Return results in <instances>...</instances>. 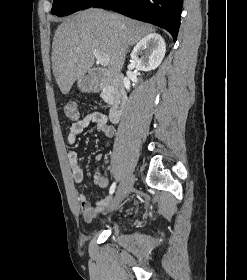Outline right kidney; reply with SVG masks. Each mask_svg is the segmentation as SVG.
Here are the masks:
<instances>
[{
  "mask_svg": "<svg viewBox=\"0 0 247 280\" xmlns=\"http://www.w3.org/2000/svg\"><path fill=\"white\" fill-rule=\"evenodd\" d=\"M166 52L165 41L161 35L150 33L143 37L131 53L132 65L141 71L156 69L162 62ZM124 86L130 90V80L124 79Z\"/></svg>",
  "mask_w": 247,
  "mask_h": 280,
  "instance_id": "ca27d5eb",
  "label": "right kidney"
}]
</instances>
